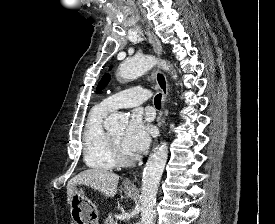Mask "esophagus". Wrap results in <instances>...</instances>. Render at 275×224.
<instances>
[{
  "label": "esophagus",
  "mask_w": 275,
  "mask_h": 224,
  "mask_svg": "<svg viewBox=\"0 0 275 224\" xmlns=\"http://www.w3.org/2000/svg\"><path fill=\"white\" fill-rule=\"evenodd\" d=\"M146 35L148 37V40L152 44L154 51L156 52V54L158 56H160L162 54V46H161L160 41L149 30L146 31ZM155 76H156V82H157V84L161 90V93H162V109H161V111L158 115V118H157V125L160 127L161 122H162L164 107L166 105L167 98H168V82H167V78H166L165 74L161 70H156ZM125 184L130 188H135V185L132 180H127L125 182Z\"/></svg>",
  "instance_id": "34e87169"
}]
</instances>
